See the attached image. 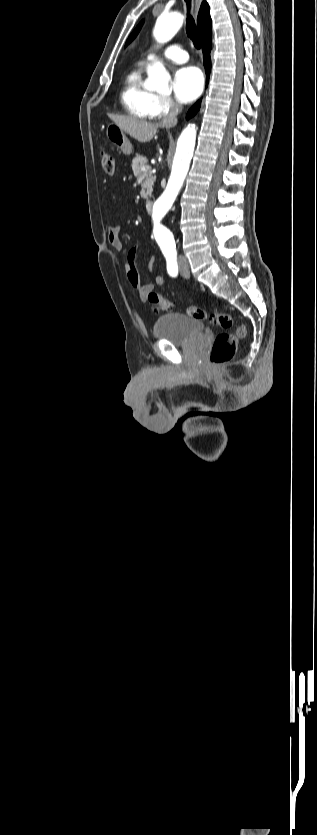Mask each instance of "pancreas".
<instances>
[{
    "label": "pancreas",
    "instance_id": "obj_1",
    "mask_svg": "<svg viewBox=\"0 0 317 835\" xmlns=\"http://www.w3.org/2000/svg\"><path fill=\"white\" fill-rule=\"evenodd\" d=\"M147 163V158L140 155L135 157L132 161V170L134 175L138 178H143L144 180L142 183V190L140 192L141 197L144 199H148L151 196L155 181V177H150L151 167ZM142 167H149L150 169L142 171Z\"/></svg>",
    "mask_w": 317,
    "mask_h": 835
}]
</instances>
